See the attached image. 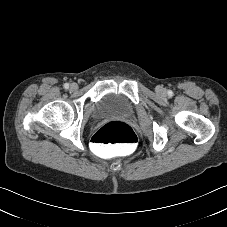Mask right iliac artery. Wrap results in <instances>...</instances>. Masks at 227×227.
<instances>
[{"instance_id": "82829eb1", "label": "right iliac artery", "mask_w": 227, "mask_h": 227, "mask_svg": "<svg viewBox=\"0 0 227 227\" xmlns=\"http://www.w3.org/2000/svg\"><path fill=\"white\" fill-rule=\"evenodd\" d=\"M64 88H65V89H68V88H69V84H68V83H65V84H64Z\"/></svg>"}]
</instances>
